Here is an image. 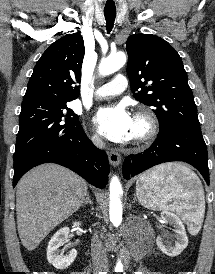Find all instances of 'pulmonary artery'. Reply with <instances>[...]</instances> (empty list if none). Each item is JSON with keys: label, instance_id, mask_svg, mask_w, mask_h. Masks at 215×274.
Here are the masks:
<instances>
[{"label": "pulmonary artery", "instance_id": "1", "mask_svg": "<svg viewBox=\"0 0 215 274\" xmlns=\"http://www.w3.org/2000/svg\"><path fill=\"white\" fill-rule=\"evenodd\" d=\"M127 87V79L124 75H116L110 82L99 87L95 95L100 98L115 96L122 93Z\"/></svg>", "mask_w": 215, "mask_h": 274}]
</instances>
